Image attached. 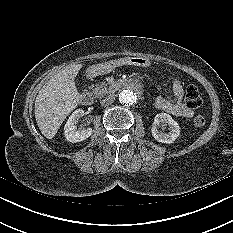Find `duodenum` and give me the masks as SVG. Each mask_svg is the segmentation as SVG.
<instances>
[{"label":"duodenum","instance_id":"1","mask_svg":"<svg viewBox=\"0 0 233 233\" xmlns=\"http://www.w3.org/2000/svg\"><path fill=\"white\" fill-rule=\"evenodd\" d=\"M123 84L120 81L115 82L114 85H109L104 89L100 90L99 95L102 98L107 97L108 94L113 93L115 89L120 90L122 89ZM80 102L82 105L88 106L92 103V96L90 93L85 92L80 96Z\"/></svg>","mask_w":233,"mask_h":233}]
</instances>
